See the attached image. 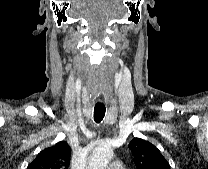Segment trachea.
Returning a JSON list of instances; mask_svg holds the SVG:
<instances>
[{
	"label": "trachea",
	"mask_w": 208,
	"mask_h": 169,
	"mask_svg": "<svg viewBox=\"0 0 208 169\" xmlns=\"http://www.w3.org/2000/svg\"><path fill=\"white\" fill-rule=\"evenodd\" d=\"M105 112H106L105 105H96L94 107V121L96 123H100L105 116Z\"/></svg>",
	"instance_id": "1"
}]
</instances>
